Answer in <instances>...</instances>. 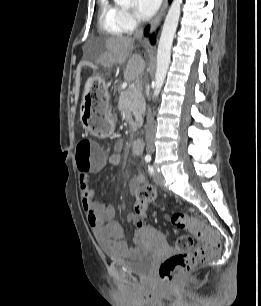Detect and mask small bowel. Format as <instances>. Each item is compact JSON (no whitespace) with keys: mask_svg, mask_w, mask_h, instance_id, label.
Here are the masks:
<instances>
[{"mask_svg":"<svg viewBox=\"0 0 261 306\" xmlns=\"http://www.w3.org/2000/svg\"><path fill=\"white\" fill-rule=\"evenodd\" d=\"M122 151L123 143L117 141L108 159H104L101 164L80 173L79 183L82 205L86 212L88 223L92 227L100 247L105 252L124 255L128 252L129 247L124 240L125 233L122 226L114 220V207L110 204L97 201L90 183L91 172L100 171L107 165H119ZM143 183L144 176L141 173H135L130 181L129 190L136 198L138 189ZM136 218L137 215L135 213H131L128 216L129 221H133Z\"/></svg>","mask_w":261,"mask_h":306,"instance_id":"c3829d8e","label":"small bowel"}]
</instances>
